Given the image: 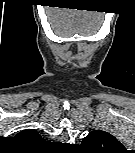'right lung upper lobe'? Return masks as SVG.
Segmentation results:
<instances>
[{"mask_svg": "<svg viewBox=\"0 0 135 153\" xmlns=\"http://www.w3.org/2000/svg\"><path fill=\"white\" fill-rule=\"evenodd\" d=\"M17 136L29 141L41 140L39 133L34 129L23 130Z\"/></svg>", "mask_w": 135, "mask_h": 153, "instance_id": "obj_1", "label": "right lung upper lobe"}]
</instances>
